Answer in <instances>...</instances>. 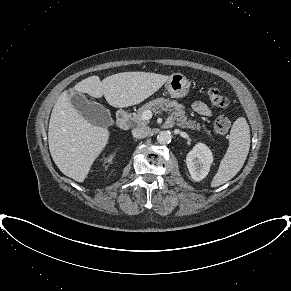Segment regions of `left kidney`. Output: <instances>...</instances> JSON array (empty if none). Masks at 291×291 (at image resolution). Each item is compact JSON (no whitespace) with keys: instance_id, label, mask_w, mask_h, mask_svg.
<instances>
[{"instance_id":"5707ae66","label":"left kidney","mask_w":291,"mask_h":291,"mask_svg":"<svg viewBox=\"0 0 291 291\" xmlns=\"http://www.w3.org/2000/svg\"><path fill=\"white\" fill-rule=\"evenodd\" d=\"M212 162V152L203 143H197L186 157L188 170L195 181H201L208 175Z\"/></svg>"}]
</instances>
